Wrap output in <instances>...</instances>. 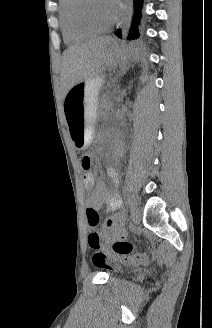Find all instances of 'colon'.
Segmentation results:
<instances>
[{
  "instance_id": "obj_1",
  "label": "colon",
  "mask_w": 212,
  "mask_h": 328,
  "mask_svg": "<svg viewBox=\"0 0 212 328\" xmlns=\"http://www.w3.org/2000/svg\"><path fill=\"white\" fill-rule=\"evenodd\" d=\"M79 168L80 170H92L93 164L90 153H79ZM88 222L92 229L88 233V245L95 251L92 260L99 268L110 267V257L104 251L98 231L94 229L99 221V215L93 208L87 209ZM112 254L119 260L130 261L132 263H147L148 257L145 255H132L134 245L124 239H119L113 243L111 248Z\"/></svg>"
}]
</instances>
